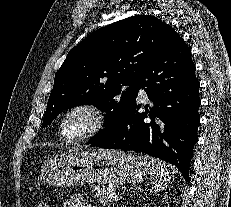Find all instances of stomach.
I'll return each mask as SVG.
<instances>
[{"instance_id":"0dacf381","label":"stomach","mask_w":231,"mask_h":207,"mask_svg":"<svg viewBox=\"0 0 231 207\" xmlns=\"http://www.w3.org/2000/svg\"><path fill=\"white\" fill-rule=\"evenodd\" d=\"M149 173L141 157L119 150H72L55 156L43 171L50 186L139 183Z\"/></svg>"}]
</instances>
